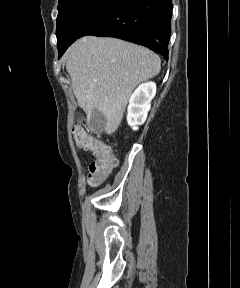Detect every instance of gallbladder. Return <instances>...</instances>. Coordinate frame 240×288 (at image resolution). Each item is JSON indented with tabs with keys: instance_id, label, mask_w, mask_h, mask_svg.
<instances>
[{
	"instance_id": "1",
	"label": "gallbladder",
	"mask_w": 240,
	"mask_h": 288,
	"mask_svg": "<svg viewBox=\"0 0 240 288\" xmlns=\"http://www.w3.org/2000/svg\"><path fill=\"white\" fill-rule=\"evenodd\" d=\"M89 122L90 123H96V122H102L104 123L103 115L96 109H94L89 116Z\"/></svg>"
}]
</instances>
